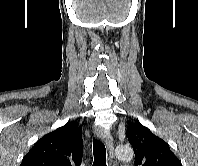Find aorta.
Instances as JSON below:
<instances>
[{
	"mask_svg": "<svg viewBox=\"0 0 198 166\" xmlns=\"http://www.w3.org/2000/svg\"><path fill=\"white\" fill-rule=\"evenodd\" d=\"M133 150L130 146L120 145L115 149V156L122 161H130L133 158Z\"/></svg>",
	"mask_w": 198,
	"mask_h": 166,
	"instance_id": "aorta-1",
	"label": "aorta"
}]
</instances>
